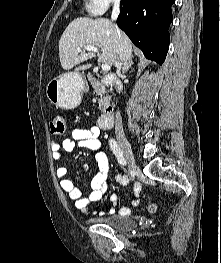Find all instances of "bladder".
Wrapping results in <instances>:
<instances>
[{
	"label": "bladder",
	"mask_w": 221,
	"mask_h": 263,
	"mask_svg": "<svg viewBox=\"0 0 221 263\" xmlns=\"http://www.w3.org/2000/svg\"><path fill=\"white\" fill-rule=\"evenodd\" d=\"M98 225L110 227L119 231H130L136 227V220L129 216L108 215L90 219Z\"/></svg>",
	"instance_id": "1"
}]
</instances>
